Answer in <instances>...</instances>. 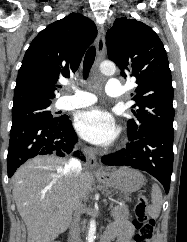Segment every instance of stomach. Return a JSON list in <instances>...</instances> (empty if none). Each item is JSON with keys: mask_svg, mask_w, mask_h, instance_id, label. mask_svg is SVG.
<instances>
[{"mask_svg": "<svg viewBox=\"0 0 187 242\" xmlns=\"http://www.w3.org/2000/svg\"><path fill=\"white\" fill-rule=\"evenodd\" d=\"M96 178L101 184L126 196L139 190L144 183L143 175L132 168H120L111 173L96 175Z\"/></svg>", "mask_w": 187, "mask_h": 242, "instance_id": "stomach-1", "label": "stomach"}]
</instances>
